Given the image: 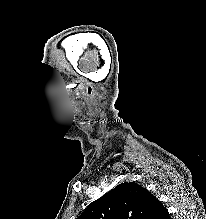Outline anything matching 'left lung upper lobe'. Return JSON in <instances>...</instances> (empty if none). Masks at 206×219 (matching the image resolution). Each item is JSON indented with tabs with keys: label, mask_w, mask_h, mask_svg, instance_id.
I'll return each mask as SVG.
<instances>
[{
	"label": "left lung upper lobe",
	"mask_w": 206,
	"mask_h": 219,
	"mask_svg": "<svg viewBox=\"0 0 206 219\" xmlns=\"http://www.w3.org/2000/svg\"><path fill=\"white\" fill-rule=\"evenodd\" d=\"M153 199L137 183H121L92 202L77 219H148Z\"/></svg>",
	"instance_id": "left-lung-upper-lobe-1"
}]
</instances>
